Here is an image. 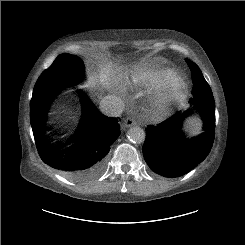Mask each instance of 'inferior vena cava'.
<instances>
[{"label": "inferior vena cava", "mask_w": 245, "mask_h": 245, "mask_svg": "<svg viewBox=\"0 0 245 245\" xmlns=\"http://www.w3.org/2000/svg\"><path fill=\"white\" fill-rule=\"evenodd\" d=\"M124 102L121 98L108 95L100 101L101 112L110 117H119L124 110Z\"/></svg>", "instance_id": "obj_1"}]
</instances>
